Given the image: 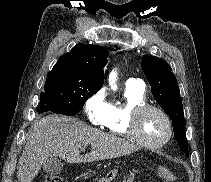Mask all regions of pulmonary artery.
<instances>
[{"label": "pulmonary artery", "instance_id": "obj_1", "mask_svg": "<svg viewBox=\"0 0 211 182\" xmlns=\"http://www.w3.org/2000/svg\"><path fill=\"white\" fill-rule=\"evenodd\" d=\"M126 87L144 91V84L138 79L134 78L127 80Z\"/></svg>", "mask_w": 211, "mask_h": 182}]
</instances>
